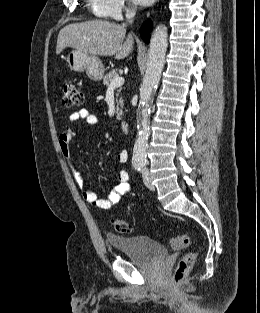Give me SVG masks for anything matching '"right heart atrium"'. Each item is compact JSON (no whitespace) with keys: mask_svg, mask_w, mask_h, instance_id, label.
<instances>
[{"mask_svg":"<svg viewBox=\"0 0 260 313\" xmlns=\"http://www.w3.org/2000/svg\"><path fill=\"white\" fill-rule=\"evenodd\" d=\"M94 11L101 17L121 19L125 13H131L133 8L127 0H96Z\"/></svg>","mask_w":260,"mask_h":313,"instance_id":"obj_1","label":"right heart atrium"}]
</instances>
